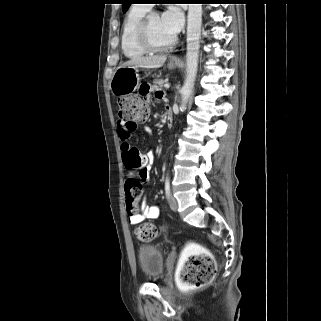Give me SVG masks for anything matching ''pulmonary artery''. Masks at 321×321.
I'll return each instance as SVG.
<instances>
[{
    "label": "pulmonary artery",
    "instance_id": "1",
    "mask_svg": "<svg viewBox=\"0 0 321 321\" xmlns=\"http://www.w3.org/2000/svg\"><path fill=\"white\" fill-rule=\"evenodd\" d=\"M144 6H146V7L149 8V9L152 7L151 4H146V5H144Z\"/></svg>",
    "mask_w": 321,
    "mask_h": 321
}]
</instances>
